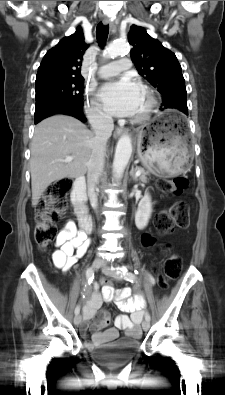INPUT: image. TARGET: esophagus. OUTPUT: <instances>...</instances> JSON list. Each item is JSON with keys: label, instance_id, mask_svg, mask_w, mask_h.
Listing matches in <instances>:
<instances>
[{"label": "esophagus", "instance_id": "1", "mask_svg": "<svg viewBox=\"0 0 225 395\" xmlns=\"http://www.w3.org/2000/svg\"><path fill=\"white\" fill-rule=\"evenodd\" d=\"M103 24H104V25H109L111 29L114 28V25H113L112 21H111L108 17H105V18L103 19ZM125 132H126V129H124V128H122V127H117V128L115 129V131H114V136H115V137H119L120 135H122V134L125 133Z\"/></svg>", "mask_w": 225, "mask_h": 395}]
</instances>
